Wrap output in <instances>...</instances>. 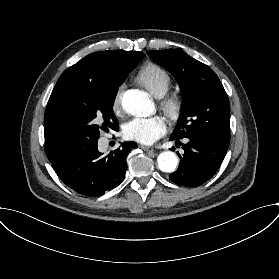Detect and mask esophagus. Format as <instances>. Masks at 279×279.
<instances>
[{"mask_svg":"<svg viewBox=\"0 0 279 279\" xmlns=\"http://www.w3.org/2000/svg\"><path fill=\"white\" fill-rule=\"evenodd\" d=\"M140 148H142L145 152H147L149 155H151L152 157L155 156L154 153V149L152 146H148V145H139Z\"/></svg>","mask_w":279,"mask_h":279,"instance_id":"esophagus-1","label":"esophagus"}]
</instances>
